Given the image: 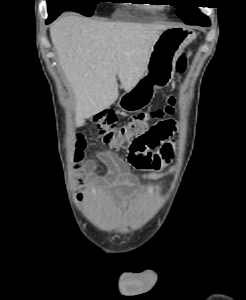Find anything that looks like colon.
Here are the masks:
<instances>
[{"label": "colon", "mask_w": 246, "mask_h": 300, "mask_svg": "<svg viewBox=\"0 0 246 300\" xmlns=\"http://www.w3.org/2000/svg\"><path fill=\"white\" fill-rule=\"evenodd\" d=\"M185 67L186 54L182 55L176 63L179 72H183ZM175 105L176 99L170 98L165 106L131 116L123 125L117 124L116 111L104 110L93 117V124L104 145L112 148H127L130 152L141 155L139 162L143 167L154 168L161 162L158 152L175 132L176 123L166 120L149 125V122L161 120L166 115L174 113ZM85 146L84 137L78 135L76 161L81 159Z\"/></svg>", "instance_id": "obj_1"}]
</instances>
